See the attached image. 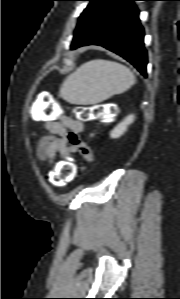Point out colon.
<instances>
[{
  "instance_id": "obj_1",
  "label": "colon",
  "mask_w": 180,
  "mask_h": 299,
  "mask_svg": "<svg viewBox=\"0 0 180 299\" xmlns=\"http://www.w3.org/2000/svg\"><path fill=\"white\" fill-rule=\"evenodd\" d=\"M103 105L94 106H78L76 108V114L79 119L89 121L105 115ZM44 116L47 118H56L59 116L57 109L54 105H50ZM77 174L76 166L70 162H59L57 165L47 174V180L56 187H63L66 184L74 180Z\"/></svg>"
}]
</instances>
